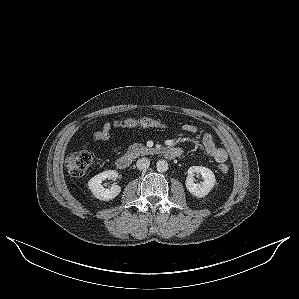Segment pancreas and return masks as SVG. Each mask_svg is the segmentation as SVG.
I'll return each mask as SVG.
<instances>
[{"label": "pancreas", "instance_id": "pancreas-1", "mask_svg": "<svg viewBox=\"0 0 299 299\" xmlns=\"http://www.w3.org/2000/svg\"><path fill=\"white\" fill-rule=\"evenodd\" d=\"M154 151L153 148H148L142 144L134 143L129 146L128 148V154H130L132 157H137L140 155H148L152 154Z\"/></svg>", "mask_w": 299, "mask_h": 299}]
</instances>
